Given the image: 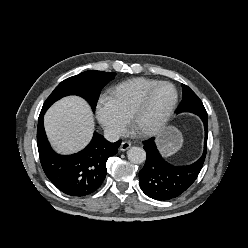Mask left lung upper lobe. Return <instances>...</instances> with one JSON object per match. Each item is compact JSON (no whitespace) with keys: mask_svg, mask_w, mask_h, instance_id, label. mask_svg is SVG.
Here are the masks:
<instances>
[{"mask_svg":"<svg viewBox=\"0 0 248 248\" xmlns=\"http://www.w3.org/2000/svg\"><path fill=\"white\" fill-rule=\"evenodd\" d=\"M183 99L177 113L192 112L197 115L207 113L199 97L186 85L182 84Z\"/></svg>","mask_w":248,"mask_h":248,"instance_id":"5c2ea615","label":"left lung upper lobe"}]
</instances>
